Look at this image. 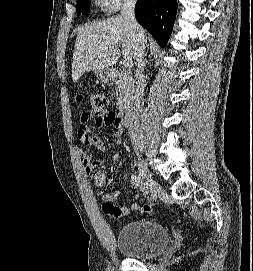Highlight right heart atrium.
<instances>
[{
	"label": "right heart atrium",
	"mask_w": 253,
	"mask_h": 271,
	"mask_svg": "<svg viewBox=\"0 0 253 271\" xmlns=\"http://www.w3.org/2000/svg\"><path fill=\"white\" fill-rule=\"evenodd\" d=\"M129 1L134 0H97L99 6L107 12H114L119 9L123 3Z\"/></svg>",
	"instance_id": "1"
}]
</instances>
